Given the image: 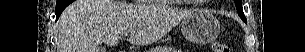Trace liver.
<instances>
[{
  "label": "liver",
  "instance_id": "6515ba94",
  "mask_svg": "<svg viewBox=\"0 0 305 52\" xmlns=\"http://www.w3.org/2000/svg\"><path fill=\"white\" fill-rule=\"evenodd\" d=\"M164 1L132 5L116 0H76L60 16L57 52H102L99 44L116 46L128 33L130 42L149 45L192 14Z\"/></svg>",
  "mask_w": 305,
  "mask_h": 52
}]
</instances>
